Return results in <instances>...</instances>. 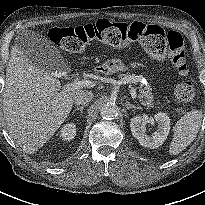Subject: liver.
Masks as SVG:
<instances>
[{
    "instance_id": "1",
    "label": "liver",
    "mask_w": 205,
    "mask_h": 205,
    "mask_svg": "<svg viewBox=\"0 0 205 205\" xmlns=\"http://www.w3.org/2000/svg\"><path fill=\"white\" fill-rule=\"evenodd\" d=\"M59 90L56 78L33 65L17 45L12 46L2 95L3 114L10 136L24 152L35 153L54 135L68 117L76 94L84 91Z\"/></svg>"
}]
</instances>
